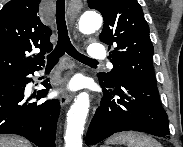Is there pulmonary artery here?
<instances>
[{
    "label": "pulmonary artery",
    "mask_w": 183,
    "mask_h": 147,
    "mask_svg": "<svg viewBox=\"0 0 183 147\" xmlns=\"http://www.w3.org/2000/svg\"><path fill=\"white\" fill-rule=\"evenodd\" d=\"M88 56L93 59H103L105 57V49L99 43H93L88 47Z\"/></svg>",
    "instance_id": "pulmonary-artery-1"
}]
</instances>
